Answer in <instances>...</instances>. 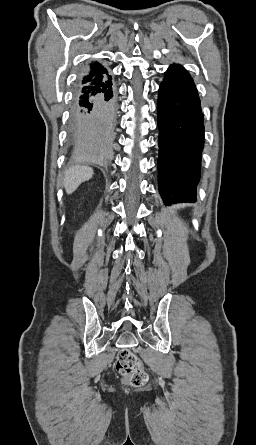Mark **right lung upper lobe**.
<instances>
[{"label": "right lung upper lobe", "instance_id": "obj_1", "mask_svg": "<svg viewBox=\"0 0 256 445\" xmlns=\"http://www.w3.org/2000/svg\"><path fill=\"white\" fill-rule=\"evenodd\" d=\"M107 69L98 62L90 64L78 84V88L87 85H98L110 79Z\"/></svg>", "mask_w": 256, "mask_h": 445}]
</instances>
